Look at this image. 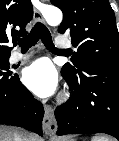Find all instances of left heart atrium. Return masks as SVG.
I'll use <instances>...</instances> for the list:
<instances>
[{"label": "left heart atrium", "mask_w": 119, "mask_h": 141, "mask_svg": "<svg viewBox=\"0 0 119 141\" xmlns=\"http://www.w3.org/2000/svg\"><path fill=\"white\" fill-rule=\"evenodd\" d=\"M26 86L40 97H48L57 88L58 79L56 69L47 58H42L30 66L23 73Z\"/></svg>", "instance_id": "obj_1"}]
</instances>
